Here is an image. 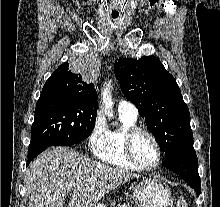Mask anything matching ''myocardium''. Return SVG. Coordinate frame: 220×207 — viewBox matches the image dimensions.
Here are the masks:
<instances>
[{"instance_id":"f54148a6","label":"myocardium","mask_w":220,"mask_h":207,"mask_svg":"<svg viewBox=\"0 0 220 207\" xmlns=\"http://www.w3.org/2000/svg\"><path fill=\"white\" fill-rule=\"evenodd\" d=\"M140 133H144L147 136H149L157 149L158 157H157L156 162L152 165L141 164L135 156L134 140H135L136 136ZM124 148H125L126 156L129 159V161L141 170H152V169L156 168L161 163L163 152H162V147L160 145V142L158 141L155 134L145 127L134 126V127L129 128L126 131L125 136H124Z\"/></svg>"}]
</instances>
